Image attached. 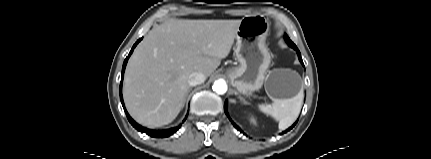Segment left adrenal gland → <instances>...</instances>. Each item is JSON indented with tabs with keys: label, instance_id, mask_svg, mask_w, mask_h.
Masks as SVG:
<instances>
[{
	"label": "left adrenal gland",
	"instance_id": "left-adrenal-gland-1",
	"mask_svg": "<svg viewBox=\"0 0 431 159\" xmlns=\"http://www.w3.org/2000/svg\"><path fill=\"white\" fill-rule=\"evenodd\" d=\"M239 98H240V100H241V101H243V103H244V104H248V103L245 101V99H244V98H242V97H239Z\"/></svg>",
	"mask_w": 431,
	"mask_h": 159
}]
</instances>
